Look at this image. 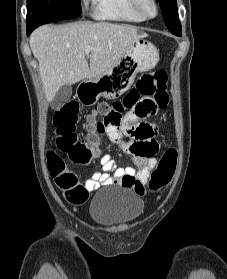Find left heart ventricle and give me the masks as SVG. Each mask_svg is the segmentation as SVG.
<instances>
[{
	"instance_id": "1",
	"label": "left heart ventricle",
	"mask_w": 227,
	"mask_h": 279,
	"mask_svg": "<svg viewBox=\"0 0 227 279\" xmlns=\"http://www.w3.org/2000/svg\"><path fill=\"white\" fill-rule=\"evenodd\" d=\"M142 7L147 14H153L154 9L149 0H143Z\"/></svg>"
}]
</instances>
